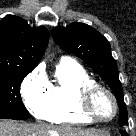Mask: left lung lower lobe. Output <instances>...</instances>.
Here are the masks:
<instances>
[{
	"instance_id": "left-lung-lower-lobe-1",
	"label": "left lung lower lobe",
	"mask_w": 136,
	"mask_h": 136,
	"mask_svg": "<svg viewBox=\"0 0 136 136\" xmlns=\"http://www.w3.org/2000/svg\"><path fill=\"white\" fill-rule=\"evenodd\" d=\"M122 136H127V133L125 131H120Z\"/></svg>"
}]
</instances>
